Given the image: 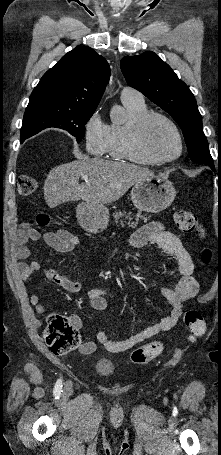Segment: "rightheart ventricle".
Wrapping results in <instances>:
<instances>
[{
	"mask_svg": "<svg viewBox=\"0 0 221 455\" xmlns=\"http://www.w3.org/2000/svg\"><path fill=\"white\" fill-rule=\"evenodd\" d=\"M128 120L125 124H112L109 126L106 154L113 160H124L137 163H151L144 157L135 153L129 143V132L132 124L148 112L145 104L124 103Z\"/></svg>",
	"mask_w": 221,
	"mask_h": 455,
	"instance_id": "1",
	"label": "right heart ventricle"
}]
</instances>
